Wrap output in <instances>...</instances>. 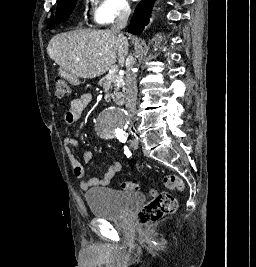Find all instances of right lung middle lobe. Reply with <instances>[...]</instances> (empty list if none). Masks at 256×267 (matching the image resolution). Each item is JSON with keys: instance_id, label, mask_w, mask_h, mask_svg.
<instances>
[{"instance_id": "obj_1", "label": "right lung middle lobe", "mask_w": 256, "mask_h": 267, "mask_svg": "<svg viewBox=\"0 0 256 267\" xmlns=\"http://www.w3.org/2000/svg\"><path fill=\"white\" fill-rule=\"evenodd\" d=\"M77 0H62L58 2L56 15L49 21L48 27L53 28L55 24L64 22L72 13Z\"/></svg>"}]
</instances>
